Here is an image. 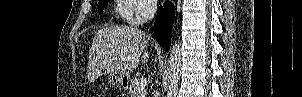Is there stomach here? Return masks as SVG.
Segmentation results:
<instances>
[{
	"label": "stomach",
	"mask_w": 302,
	"mask_h": 97,
	"mask_svg": "<svg viewBox=\"0 0 302 97\" xmlns=\"http://www.w3.org/2000/svg\"><path fill=\"white\" fill-rule=\"evenodd\" d=\"M129 80L128 72L113 71L109 74V81L116 87L125 88Z\"/></svg>",
	"instance_id": "1"
}]
</instances>
